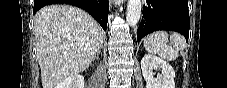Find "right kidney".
Instances as JSON below:
<instances>
[{"label": "right kidney", "mask_w": 227, "mask_h": 88, "mask_svg": "<svg viewBox=\"0 0 227 88\" xmlns=\"http://www.w3.org/2000/svg\"><path fill=\"white\" fill-rule=\"evenodd\" d=\"M84 84L82 75H74L62 80L55 88H84Z\"/></svg>", "instance_id": "ca27d5eb"}]
</instances>
